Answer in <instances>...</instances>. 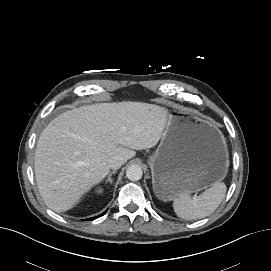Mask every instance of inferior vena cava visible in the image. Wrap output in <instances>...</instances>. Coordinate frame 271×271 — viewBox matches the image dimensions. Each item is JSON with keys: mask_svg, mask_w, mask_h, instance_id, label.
<instances>
[{"mask_svg": "<svg viewBox=\"0 0 271 271\" xmlns=\"http://www.w3.org/2000/svg\"><path fill=\"white\" fill-rule=\"evenodd\" d=\"M124 164V158L119 155L112 156L108 160V167L111 169H118Z\"/></svg>", "mask_w": 271, "mask_h": 271, "instance_id": "obj_1", "label": "inferior vena cava"}]
</instances>
